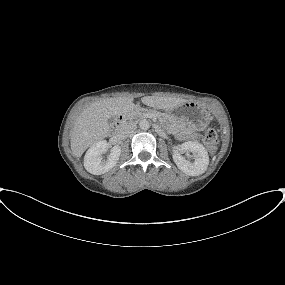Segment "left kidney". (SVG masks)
<instances>
[{
  "instance_id": "5707ae66",
  "label": "left kidney",
  "mask_w": 285,
  "mask_h": 285,
  "mask_svg": "<svg viewBox=\"0 0 285 285\" xmlns=\"http://www.w3.org/2000/svg\"><path fill=\"white\" fill-rule=\"evenodd\" d=\"M179 151H189L194 157V161L190 162L183 157ZM173 160L177 167L185 174L190 176H198L203 174L209 164V156L205 147L193 141L184 142L173 150Z\"/></svg>"
}]
</instances>
